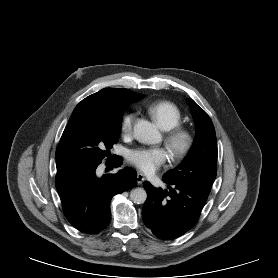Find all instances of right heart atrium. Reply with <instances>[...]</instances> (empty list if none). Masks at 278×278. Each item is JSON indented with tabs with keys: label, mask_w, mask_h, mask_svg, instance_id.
<instances>
[{
	"label": "right heart atrium",
	"mask_w": 278,
	"mask_h": 278,
	"mask_svg": "<svg viewBox=\"0 0 278 278\" xmlns=\"http://www.w3.org/2000/svg\"><path fill=\"white\" fill-rule=\"evenodd\" d=\"M135 114L133 112H125L120 118V132L123 137H130L135 122Z\"/></svg>",
	"instance_id": "d8ad5b80"
}]
</instances>
